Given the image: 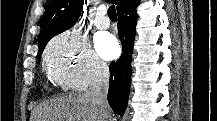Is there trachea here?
<instances>
[{
	"instance_id": "trachea-1",
	"label": "trachea",
	"mask_w": 217,
	"mask_h": 121,
	"mask_svg": "<svg viewBox=\"0 0 217 121\" xmlns=\"http://www.w3.org/2000/svg\"><path fill=\"white\" fill-rule=\"evenodd\" d=\"M108 16L110 19H117V14L115 10V6L111 5L108 9Z\"/></svg>"
}]
</instances>
